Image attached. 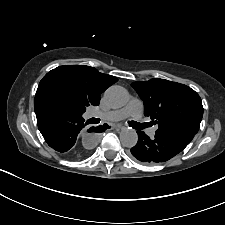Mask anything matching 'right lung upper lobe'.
Masks as SVG:
<instances>
[{
    "mask_svg": "<svg viewBox=\"0 0 225 225\" xmlns=\"http://www.w3.org/2000/svg\"><path fill=\"white\" fill-rule=\"evenodd\" d=\"M117 80L116 77L102 74L90 66H59L48 72L40 81L35 99L44 98L46 88L57 85L74 95L85 107L97 106L100 94Z\"/></svg>",
    "mask_w": 225,
    "mask_h": 225,
    "instance_id": "right-lung-upper-lobe-1",
    "label": "right lung upper lobe"
}]
</instances>
